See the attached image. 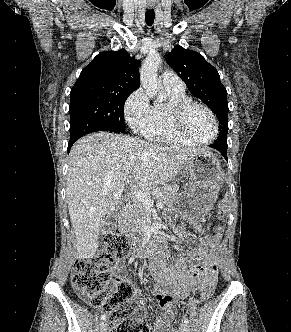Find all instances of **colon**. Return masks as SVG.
Wrapping results in <instances>:
<instances>
[{
  "instance_id": "colon-1",
  "label": "colon",
  "mask_w": 291,
  "mask_h": 332,
  "mask_svg": "<svg viewBox=\"0 0 291 332\" xmlns=\"http://www.w3.org/2000/svg\"><path fill=\"white\" fill-rule=\"evenodd\" d=\"M105 247L89 259L78 260L74 265L72 286L88 304L101 306L108 315L110 332H149L148 327L131 318L136 308L134 288L128 282L116 284L109 265L124 259L130 252L129 240L122 234L105 236ZM216 281L205 286L201 301H207L214 293Z\"/></svg>"
}]
</instances>
